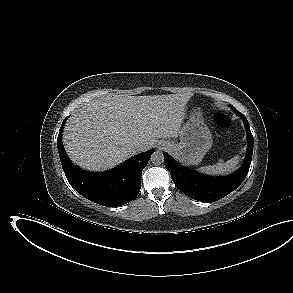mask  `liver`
I'll use <instances>...</instances> for the list:
<instances>
[{"instance_id":"6515ba94","label":"liver","mask_w":293,"mask_h":293,"mask_svg":"<svg viewBox=\"0 0 293 293\" xmlns=\"http://www.w3.org/2000/svg\"><path fill=\"white\" fill-rule=\"evenodd\" d=\"M192 95H107L92 99L67 120L63 132L66 153L74 164L90 171L114 168L139 153V143L152 148L159 138L180 136Z\"/></svg>"}]
</instances>
